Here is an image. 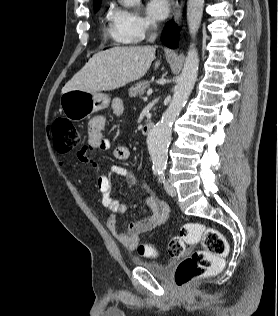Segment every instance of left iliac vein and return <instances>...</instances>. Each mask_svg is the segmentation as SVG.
<instances>
[{
  "mask_svg": "<svg viewBox=\"0 0 278 316\" xmlns=\"http://www.w3.org/2000/svg\"><path fill=\"white\" fill-rule=\"evenodd\" d=\"M164 187L166 192L168 193V195L174 197L176 196V189L173 187L172 184H170L169 182L165 181L164 182Z\"/></svg>",
  "mask_w": 278,
  "mask_h": 316,
  "instance_id": "1",
  "label": "left iliac vein"
}]
</instances>
